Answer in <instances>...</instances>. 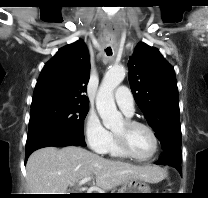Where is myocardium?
Instances as JSON below:
<instances>
[{
	"instance_id": "1",
	"label": "myocardium",
	"mask_w": 208,
	"mask_h": 198,
	"mask_svg": "<svg viewBox=\"0 0 208 198\" xmlns=\"http://www.w3.org/2000/svg\"><path fill=\"white\" fill-rule=\"evenodd\" d=\"M124 122H125V125L127 127H130V128L131 127H136V126L145 128L151 134V136L153 138L154 147H153L152 153L149 156H147V157H138L130 150L125 137L121 136V135H118L114 132L113 133L114 140H115L117 146L119 147V149L127 157H129V158H131L135 161L146 162V161L151 160L157 154L158 149H159V139H158V136H157L156 132L154 131V129L150 125H148V124H146L142 121H138V120H134V119H130V118L125 119Z\"/></svg>"
}]
</instances>
